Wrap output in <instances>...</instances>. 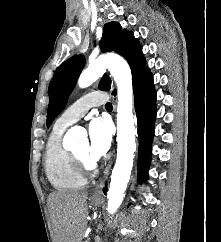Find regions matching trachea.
<instances>
[{"label":"trachea","instance_id":"obj_1","mask_svg":"<svg viewBox=\"0 0 221 242\" xmlns=\"http://www.w3.org/2000/svg\"><path fill=\"white\" fill-rule=\"evenodd\" d=\"M105 108L107 110H112L113 106H112V104L110 102H108V103H106Z\"/></svg>","mask_w":221,"mask_h":242}]
</instances>
